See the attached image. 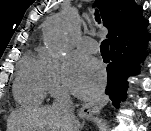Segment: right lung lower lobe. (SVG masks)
Returning <instances> with one entry per match:
<instances>
[{
	"label": "right lung lower lobe",
	"mask_w": 151,
	"mask_h": 131,
	"mask_svg": "<svg viewBox=\"0 0 151 131\" xmlns=\"http://www.w3.org/2000/svg\"><path fill=\"white\" fill-rule=\"evenodd\" d=\"M112 62L107 67L108 85L106 93L112 104L118 108L122 100L126 98L128 88L127 78L137 74L140 63L146 56L145 47L120 46L111 49Z\"/></svg>",
	"instance_id": "right-lung-lower-lobe-1"
}]
</instances>
